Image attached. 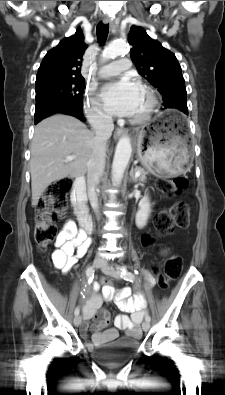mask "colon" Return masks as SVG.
<instances>
[{
	"label": "colon",
	"instance_id": "colon-1",
	"mask_svg": "<svg viewBox=\"0 0 225 395\" xmlns=\"http://www.w3.org/2000/svg\"><path fill=\"white\" fill-rule=\"evenodd\" d=\"M187 179L183 176L161 179L157 183L158 189L167 197H175L182 193L187 186ZM71 178H62L53 182L44 192L39 204L38 215L35 221L34 236L37 247L40 251H45L56 239L58 229L55 224L67 206V195L72 189ZM191 220L190 206L185 201H179L169 209L160 211L154 222L155 230L160 236H167L176 229L188 227ZM144 245L152 243L149 235L142 238ZM182 259L178 255L168 258L163 267L152 268V275H162L159 277V286L166 288L169 283L176 280L182 272ZM101 285H112V278H101Z\"/></svg>",
	"mask_w": 225,
	"mask_h": 395
}]
</instances>
